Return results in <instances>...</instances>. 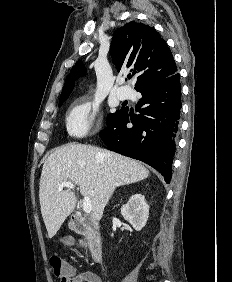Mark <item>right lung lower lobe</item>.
I'll return each mask as SVG.
<instances>
[{
  "label": "right lung lower lobe",
  "mask_w": 232,
  "mask_h": 282,
  "mask_svg": "<svg viewBox=\"0 0 232 282\" xmlns=\"http://www.w3.org/2000/svg\"><path fill=\"white\" fill-rule=\"evenodd\" d=\"M180 75L175 73L136 89L142 94L133 117L127 107L107 121L100 137L108 149L138 159L170 183L181 109ZM129 122L133 127H127Z\"/></svg>",
  "instance_id": "1"
}]
</instances>
